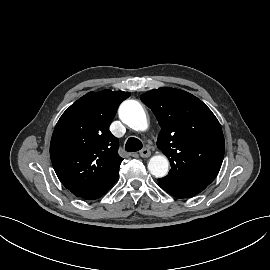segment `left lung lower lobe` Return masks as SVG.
<instances>
[{
    "label": "left lung lower lobe",
    "instance_id": "1",
    "mask_svg": "<svg viewBox=\"0 0 270 270\" xmlns=\"http://www.w3.org/2000/svg\"><path fill=\"white\" fill-rule=\"evenodd\" d=\"M158 182L164 190H166L168 193H170L171 195L177 198H187V197L194 196L206 188V185L197 184V183L184 185V186H172V185L163 184L160 181Z\"/></svg>",
    "mask_w": 270,
    "mask_h": 270
}]
</instances>
